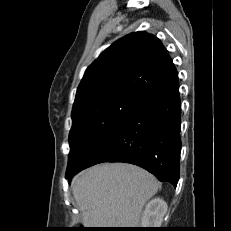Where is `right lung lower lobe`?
<instances>
[{
	"label": "right lung lower lobe",
	"instance_id": "right-lung-lower-lobe-1",
	"mask_svg": "<svg viewBox=\"0 0 231 231\" xmlns=\"http://www.w3.org/2000/svg\"><path fill=\"white\" fill-rule=\"evenodd\" d=\"M179 87L147 96L138 110L100 142L66 178L102 162L138 165L176 187L181 150Z\"/></svg>",
	"mask_w": 231,
	"mask_h": 231
}]
</instances>
